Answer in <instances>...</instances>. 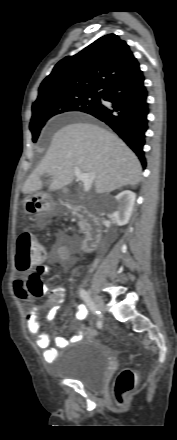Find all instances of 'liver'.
Instances as JSON below:
<instances>
[{"label": "liver", "mask_w": 177, "mask_h": 440, "mask_svg": "<svg viewBox=\"0 0 177 440\" xmlns=\"http://www.w3.org/2000/svg\"><path fill=\"white\" fill-rule=\"evenodd\" d=\"M74 167L95 173L98 194L137 185L142 171L137 156L117 135L92 123H73L54 134L46 155L25 181L22 192L40 190L43 175L52 177L49 190L62 189L73 182Z\"/></svg>", "instance_id": "obj_1"}]
</instances>
